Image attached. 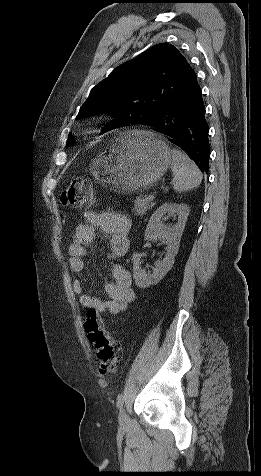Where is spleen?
I'll use <instances>...</instances> for the list:
<instances>
[{"label":"spleen","mask_w":261,"mask_h":476,"mask_svg":"<svg viewBox=\"0 0 261 476\" xmlns=\"http://www.w3.org/2000/svg\"><path fill=\"white\" fill-rule=\"evenodd\" d=\"M170 153L174 190L185 192L198 187L203 176L197 165L180 150L172 149Z\"/></svg>","instance_id":"3e777b00"}]
</instances>
